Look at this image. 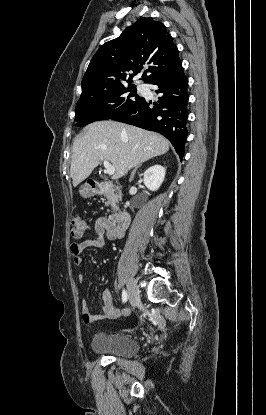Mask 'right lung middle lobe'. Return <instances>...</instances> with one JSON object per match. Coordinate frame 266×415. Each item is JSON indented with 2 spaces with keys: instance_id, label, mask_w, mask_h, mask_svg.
I'll use <instances>...</instances> for the list:
<instances>
[{
  "instance_id": "obj_1",
  "label": "right lung middle lobe",
  "mask_w": 266,
  "mask_h": 415,
  "mask_svg": "<svg viewBox=\"0 0 266 415\" xmlns=\"http://www.w3.org/2000/svg\"><path fill=\"white\" fill-rule=\"evenodd\" d=\"M143 98L136 94V86H120L90 97L81 98L75 109L77 126L111 119L136 106Z\"/></svg>"
}]
</instances>
